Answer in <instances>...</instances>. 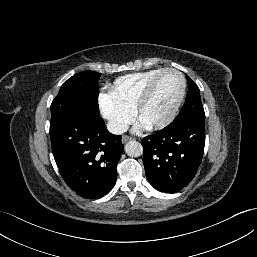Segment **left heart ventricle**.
<instances>
[{
    "instance_id": "left-heart-ventricle-1",
    "label": "left heart ventricle",
    "mask_w": 257,
    "mask_h": 257,
    "mask_svg": "<svg viewBox=\"0 0 257 257\" xmlns=\"http://www.w3.org/2000/svg\"><path fill=\"white\" fill-rule=\"evenodd\" d=\"M181 87L182 82L178 74L170 72L163 75L144 107L140 121L148 125L163 119L176 103Z\"/></svg>"
}]
</instances>
